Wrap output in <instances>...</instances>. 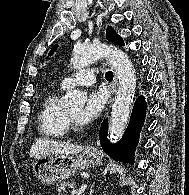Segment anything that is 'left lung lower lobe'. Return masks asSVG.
<instances>
[{
  "label": "left lung lower lobe",
  "mask_w": 189,
  "mask_h": 195,
  "mask_svg": "<svg viewBox=\"0 0 189 195\" xmlns=\"http://www.w3.org/2000/svg\"><path fill=\"white\" fill-rule=\"evenodd\" d=\"M146 109L145 98L140 96L134 104L128 128L123 138L116 144H111L107 140L108 122L104 120L99 134L104 152L119 161L134 163V152L145 120Z\"/></svg>",
  "instance_id": "left-lung-lower-lobe-1"
}]
</instances>
